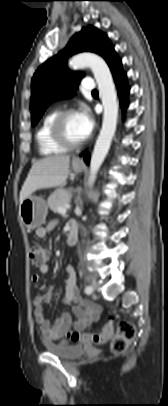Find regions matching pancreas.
Returning a JSON list of instances; mask_svg holds the SVG:
<instances>
[{
    "label": "pancreas",
    "mask_w": 168,
    "mask_h": 406,
    "mask_svg": "<svg viewBox=\"0 0 168 406\" xmlns=\"http://www.w3.org/2000/svg\"><path fill=\"white\" fill-rule=\"evenodd\" d=\"M71 197L69 190H59L49 196L47 204L52 211L58 212L59 207H64L70 203Z\"/></svg>",
    "instance_id": "obj_1"
}]
</instances>
